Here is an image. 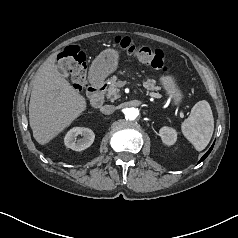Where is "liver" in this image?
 Returning <instances> with one entry per match:
<instances>
[{"label": "liver", "instance_id": "6515ba94", "mask_svg": "<svg viewBox=\"0 0 238 238\" xmlns=\"http://www.w3.org/2000/svg\"><path fill=\"white\" fill-rule=\"evenodd\" d=\"M49 56L35 75L29 103V124L35 140L44 145L85 111V98L62 76Z\"/></svg>", "mask_w": 238, "mask_h": 238}]
</instances>
